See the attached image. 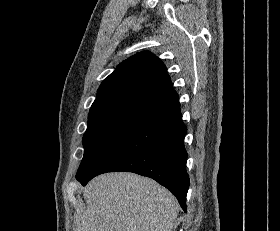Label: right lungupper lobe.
Instances as JSON below:
<instances>
[{"label": "right lung upper lobe", "instance_id": "cb5924a9", "mask_svg": "<svg viewBox=\"0 0 280 231\" xmlns=\"http://www.w3.org/2000/svg\"><path fill=\"white\" fill-rule=\"evenodd\" d=\"M179 106L165 65L146 51L123 61L101 83L88 119H126L137 124Z\"/></svg>", "mask_w": 280, "mask_h": 231}]
</instances>
